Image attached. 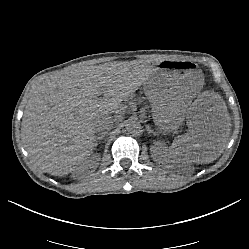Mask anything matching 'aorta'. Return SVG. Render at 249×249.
Returning <instances> with one entry per match:
<instances>
[{
  "instance_id": "762f6f07",
  "label": "aorta",
  "mask_w": 249,
  "mask_h": 249,
  "mask_svg": "<svg viewBox=\"0 0 249 249\" xmlns=\"http://www.w3.org/2000/svg\"><path fill=\"white\" fill-rule=\"evenodd\" d=\"M125 128L129 133L135 134L141 130V124L136 118H129L125 121Z\"/></svg>"
}]
</instances>
